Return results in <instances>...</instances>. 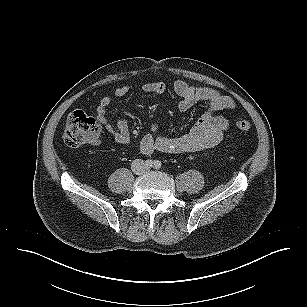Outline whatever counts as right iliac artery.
Returning a JSON list of instances; mask_svg holds the SVG:
<instances>
[{
    "instance_id": "82829eb1",
    "label": "right iliac artery",
    "mask_w": 307,
    "mask_h": 307,
    "mask_svg": "<svg viewBox=\"0 0 307 307\" xmlns=\"http://www.w3.org/2000/svg\"><path fill=\"white\" fill-rule=\"evenodd\" d=\"M153 164H154V162L151 159H148V160L145 161V166L147 168L153 167Z\"/></svg>"
}]
</instances>
